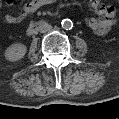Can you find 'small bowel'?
Returning <instances> with one entry per match:
<instances>
[{
	"instance_id": "c3829d8e",
	"label": "small bowel",
	"mask_w": 119,
	"mask_h": 119,
	"mask_svg": "<svg viewBox=\"0 0 119 119\" xmlns=\"http://www.w3.org/2000/svg\"><path fill=\"white\" fill-rule=\"evenodd\" d=\"M52 2H53L52 0H31L24 5L22 14L18 16L7 14L4 17V21L7 24L22 23L29 16L35 13L38 9L48 4H51ZM5 3L7 6L12 7L16 5L18 1L6 0ZM90 6L96 12L98 17L97 18L92 17L87 19L86 23L88 27L97 35L106 34L115 21L114 8L112 6L105 5L101 1H98V0L90 1Z\"/></svg>"
}]
</instances>
